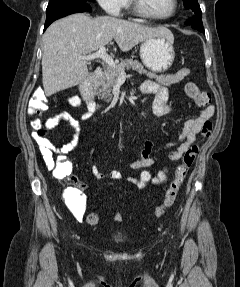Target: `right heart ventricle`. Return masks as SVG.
Segmentation results:
<instances>
[{
    "label": "right heart ventricle",
    "instance_id": "right-heart-ventricle-1",
    "mask_svg": "<svg viewBox=\"0 0 240 287\" xmlns=\"http://www.w3.org/2000/svg\"><path fill=\"white\" fill-rule=\"evenodd\" d=\"M125 8H127L128 10H133L132 0L126 1Z\"/></svg>",
    "mask_w": 240,
    "mask_h": 287
}]
</instances>
